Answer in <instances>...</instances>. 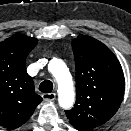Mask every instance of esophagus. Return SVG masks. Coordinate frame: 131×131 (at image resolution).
Returning <instances> with one entry per match:
<instances>
[{
  "label": "esophagus",
  "mask_w": 131,
  "mask_h": 131,
  "mask_svg": "<svg viewBox=\"0 0 131 131\" xmlns=\"http://www.w3.org/2000/svg\"><path fill=\"white\" fill-rule=\"evenodd\" d=\"M44 101H54L56 99V93H45L42 95Z\"/></svg>",
  "instance_id": "34e87169"
}]
</instances>
